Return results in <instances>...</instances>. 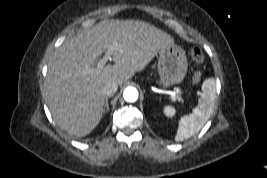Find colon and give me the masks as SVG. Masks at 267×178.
<instances>
[{
  "mask_svg": "<svg viewBox=\"0 0 267 178\" xmlns=\"http://www.w3.org/2000/svg\"><path fill=\"white\" fill-rule=\"evenodd\" d=\"M189 54H190L191 59L195 63L201 64L203 62L204 56H203V53L200 50V48H198L196 46L191 47L190 50H189ZM201 77H202L201 72L197 71L193 76L194 83L199 82Z\"/></svg>",
  "mask_w": 267,
  "mask_h": 178,
  "instance_id": "obj_1",
  "label": "colon"
}]
</instances>
